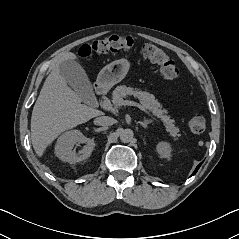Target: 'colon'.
Masks as SVG:
<instances>
[{
  "mask_svg": "<svg viewBox=\"0 0 239 239\" xmlns=\"http://www.w3.org/2000/svg\"><path fill=\"white\" fill-rule=\"evenodd\" d=\"M135 45L133 38L121 35H112L104 39L83 44L78 55L82 58L89 57L93 53L106 54L109 52L132 50ZM142 53L145 59L159 66L161 76L166 80H176L180 76V70L164 51L152 44L143 46ZM188 127L193 133H201L205 129V118L199 112H192L188 116Z\"/></svg>",
  "mask_w": 239,
  "mask_h": 239,
  "instance_id": "obj_1",
  "label": "colon"
}]
</instances>
